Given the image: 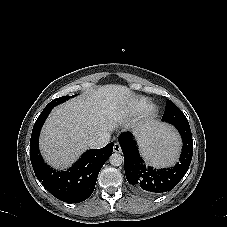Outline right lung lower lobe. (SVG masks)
<instances>
[{
  "instance_id": "obj_1",
  "label": "right lung lower lobe",
  "mask_w": 227,
  "mask_h": 227,
  "mask_svg": "<svg viewBox=\"0 0 227 227\" xmlns=\"http://www.w3.org/2000/svg\"><path fill=\"white\" fill-rule=\"evenodd\" d=\"M53 106H46L37 118L30 140V159L36 177L57 199L78 203L94 191L96 180L104 163L112 155L113 142L101 149H90L67 171L60 172L48 166L39 154L38 139L42 125Z\"/></svg>"
}]
</instances>
